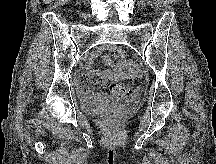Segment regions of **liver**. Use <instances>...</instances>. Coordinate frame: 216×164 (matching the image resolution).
Masks as SVG:
<instances>
[{
    "label": "liver",
    "mask_w": 216,
    "mask_h": 164,
    "mask_svg": "<svg viewBox=\"0 0 216 164\" xmlns=\"http://www.w3.org/2000/svg\"><path fill=\"white\" fill-rule=\"evenodd\" d=\"M44 4H50L53 0H42Z\"/></svg>",
    "instance_id": "6515ba94"
}]
</instances>
